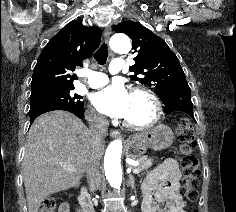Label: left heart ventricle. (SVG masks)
Returning a JSON list of instances; mask_svg holds the SVG:
<instances>
[{
	"instance_id": "1",
	"label": "left heart ventricle",
	"mask_w": 236,
	"mask_h": 212,
	"mask_svg": "<svg viewBox=\"0 0 236 212\" xmlns=\"http://www.w3.org/2000/svg\"><path fill=\"white\" fill-rule=\"evenodd\" d=\"M153 113L151 103L141 95H131L130 108L126 120L140 124L148 121Z\"/></svg>"
}]
</instances>
